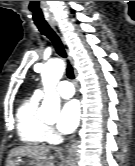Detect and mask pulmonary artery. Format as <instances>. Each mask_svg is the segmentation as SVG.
I'll return each instance as SVG.
<instances>
[{"label": "pulmonary artery", "mask_w": 135, "mask_h": 166, "mask_svg": "<svg viewBox=\"0 0 135 166\" xmlns=\"http://www.w3.org/2000/svg\"><path fill=\"white\" fill-rule=\"evenodd\" d=\"M57 92L59 94L60 97L62 98H70L74 95L75 90L73 85L67 81V80H62L57 87ZM34 95L41 98L43 95V92L38 89L34 92Z\"/></svg>", "instance_id": "1"}]
</instances>
